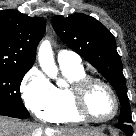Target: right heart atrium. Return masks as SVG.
<instances>
[{
    "label": "right heart atrium",
    "mask_w": 136,
    "mask_h": 136,
    "mask_svg": "<svg viewBox=\"0 0 136 136\" xmlns=\"http://www.w3.org/2000/svg\"><path fill=\"white\" fill-rule=\"evenodd\" d=\"M20 91L25 106L38 118L46 120L56 106L54 86L37 69H30L24 76Z\"/></svg>",
    "instance_id": "right-heart-atrium-1"
}]
</instances>
